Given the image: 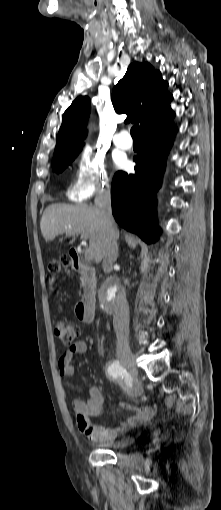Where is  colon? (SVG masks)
I'll return each instance as SVG.
<instances>
[{
	"label": "colon",
	"mask_w": 221,
	"mask_h": 510,
	"mask_svg": "<svg viewBox=\"0 0 221 510\" xmlns=\"http://www.w3.org/2000/svg\"><path fill=\"white\" fill-rule=\"evenodd\" d=\"M72 266L70 256H63L60 260L53 261L49 265V271L56 275L67 271ZM54 333L64 345H72L78 337L80 329L75 323L66 320H57L54 323ZM79 427V426H78ZM81 430V428L79 427Z\"/></svg>",
	"instance_id": "5ec220e1"
}]
</instances>
